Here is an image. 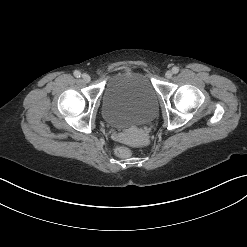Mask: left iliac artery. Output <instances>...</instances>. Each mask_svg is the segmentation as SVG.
Masks as SVG:
<instances>
[{"instance_id": "1", "label": "left iliac artery", "mask_w": 247, "mask_h": 247, "mask_svg": "<svg viewBox=\"0 0 247 247\" xmlns=\"http://www.w3.org/2000/svg\"><path fill=\"white\" fill-rule=\"evenodd\" d=\"M172 71H173V73H175V74H176V73H178V72H179V68H178V67H173V68H172Z\"/></svg>"}]
</instances>
